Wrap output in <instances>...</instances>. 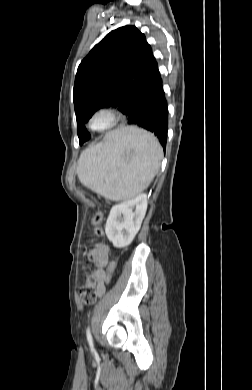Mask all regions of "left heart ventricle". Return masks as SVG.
Masks as SVG:
<instances>
[{"mask_svg":"<svg viewBox=\"0 0 252 390\" xmlns=\"http://www.w3.org/2000/svg\"><path fill=\"white\" fill-rule=\"evenodd\" d=\"M107 119L104 116H100L95 120L96 127H102L106 124Z\"/></svg>","mask_w":252,"mask_h":390,"instance_id":"left-heart-ventricle-1","label":"left heart ventricle"}]
</instances>
